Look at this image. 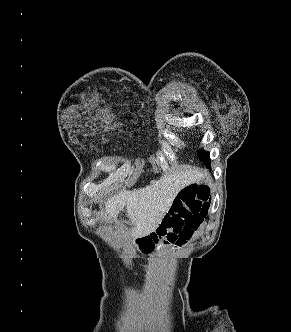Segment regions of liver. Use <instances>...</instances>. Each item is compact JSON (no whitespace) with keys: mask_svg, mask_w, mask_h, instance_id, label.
Listing matches in <instances>:
<instances>
[{"mask_svg":"<svg viewBox=\"0 0 291 332\" xmlns=\"http://www.w3.org/2000/svg\"><path fill=\"white\" fill-rule=\"evenodd\" d=\"M205 174L196 168L187 167L152 181L150 185L133 191L123 190L105 203L110 219L117 217L126 207V215L134 225L131 236H145L159 226L178 193L186 186L199 184Z\"/></svg>","mask_w":291,"mask_h":332,"instance_id":"liver-1","label":"liver"}]
</instances>
